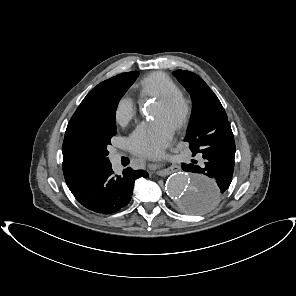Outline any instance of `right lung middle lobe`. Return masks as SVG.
I'll use <instances>...</instances> for the list:
<instances>
[{"mask_svg": "<svg viewBox=\"0 0 296 296\" xmlns=\"http://www.w3.org/2000/svg\"><path fill=\"white\" fill-rule=\"evenodd\" d=\"M138 75V71L123 73L87 108L86 128L72 147L77 160L84 163H109L107 147L116 134L115 111L119 100Z\"/></svg>", "mask_w": 296, "mask_h": 296, "instance_id": "right-lung-middle-lobe-1", "label": "right lung middle lobe"}]
</instances>
